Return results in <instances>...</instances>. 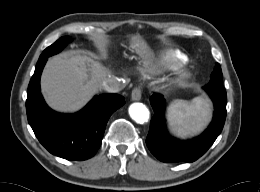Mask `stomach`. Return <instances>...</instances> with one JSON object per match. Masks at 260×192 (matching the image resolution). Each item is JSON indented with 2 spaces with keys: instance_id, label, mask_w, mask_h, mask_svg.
Segmentation results:
<instances>
[{
  "instance_id": "1",
  "label": "stomach",
  "mask_w": 260,
  "mask_h": 192,
  "mask_svg": "<svg viewBox=\"0 0 260 192\" xmlns=\"http://www.w3.org/2000/svg\"><path fill=\"white\" fill-rule=\"evenodd\" d=\"M138 42H139V41H138ZM139 43H140V47L142 48L143 52H145L146 46H145L143 43H141V42H139Z\"/></svg>"
}]
</instances>
